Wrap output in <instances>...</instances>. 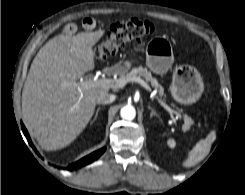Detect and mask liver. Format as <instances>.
<instances>
[{"instance_id":"liver-1","label":"liver","mask_w":245,"mask_h":195,"mask_svg":"<svg viewBox=\"0 0 245 195\" xmlns=\"http://www.w3.org/2000/svg\"><path fill=\"white\" fill-rule=\"evenodd\" d=\"M104 30L58 35L35 56L22 91L24 122L45 150L66 147L85 129L108 87L77 84L95 68L92 47Z\"/></svg>"}]
</instances>
